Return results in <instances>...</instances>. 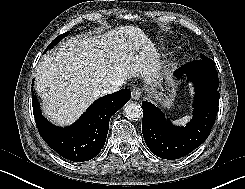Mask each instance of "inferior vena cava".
Returning a JSON list of instances; mask_svg holds the SVG:
<instances>
[{
    "label": "inferior vena cava",
    "mask_w": 245,
    "mask_h": 189,
    "mask_svg": "<svg viewBox=\"0 0 245 189\" xmlns=\"http://www.w3.org/2000/svg\"><path fill=\"white\" fill-rule=\"evenodd\" d=\"M123 82H116L113 83L111 86H109L108 88L104 89L102 91L103 94H111L114 93L116 91H118L120 89V87L122 86Z\"/></svg>",
    "instance_id": "inferior-vena-cava-1"
}]
</instances>
